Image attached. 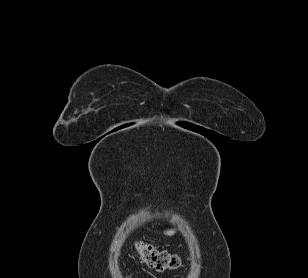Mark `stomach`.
Segmentation results:
<instances>
[{"mask_svg":"<svg viewBox=\"0 0 308 278\" xmlns=\"http://www.w3.org/2000/svg\"><path fill=\"white\" fill-rule=\"evenodd\" d=\"M177 232V230L175 228H170V229H166L164 230V234L167 236H173L175 235Z\"/></svg>","mask_w":308,"mask_h":278,"instance_id":"obj_1","label":"stomach"}]
</instances>
